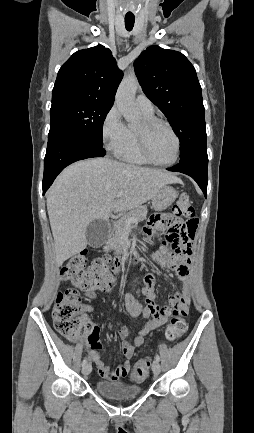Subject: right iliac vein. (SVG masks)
Instances as JSON below:
<instances>
[{
    "label": "right iliac vein",
    "mask_w": 254,
    "mask_h": 433,
    "mask_svg": "<svg viewBox=\"0 0 254 433\" xmlns=\"http://www.w3.org/2000/svg\"><path fill=\"white\" fill-rule=\"evenodd\" d=\"M91 372V365L90 364H85L82 368V373L84 375H89Z\"/></svg>",
    "instance_id": "obj_1"
}]
</instances>
